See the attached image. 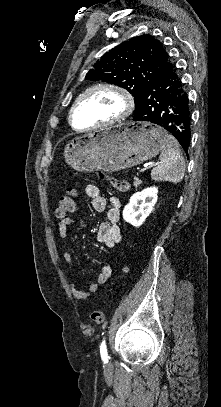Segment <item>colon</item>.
Segmentation results:
<instances>
[{"label": "colon", "instance_id": "obj_1", "mask_svg": "<svg viewBox=\"0 0 221 407\" xmlns=\"http://www.w3.org/2000/svg\"><path fill=\"white\" fill-rule=\"evenodd\" d=\"M100 177L115 188L120 191H125L129 188V183L127 181L117 180L115 178L109 177L105 174H100ZM77 190L75 188H69L65 196H63L58 202L55 208V216L58 218H68L69 215L74 211L75 199L77 197ZM105 319V311L102 308L96 309L91 313V321L94 324H102Z\"/></svg>", "mask_w": 221, "mask_h": 407}]
</instances>
